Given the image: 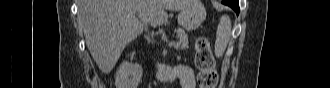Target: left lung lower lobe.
I'll list each match as a JSON object with an SVG mask.
<instances>
[{"instance_id": "1", "label": "left lung lower lobe", "mask_w": 330, "mask_h": 88, "mask_svg": "<svg viewBox=\"0 0 330 88\" xmlns=\"http://www.w3.org/2000/svg\"><path fill=\"white\" fill-rule=\"evenodd\" d=\"M239 0H223V3L230 6L236 13L237 15L239 14Z\"/></svg>"}]
</instances>
